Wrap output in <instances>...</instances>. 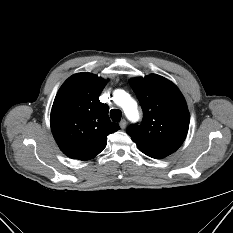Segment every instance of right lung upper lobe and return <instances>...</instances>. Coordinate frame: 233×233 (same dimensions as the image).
Here are the masks:
<instances>
[{
  "mask_svg": "<svg viewBox=\"0 0 233 233\" xmlns=\"http://www.w3.org/2000/svg\"><path fill=\"white\" fill-rule=\"evenodd\" d=\"M106 81L92 73H77L59 89L51 110L53 136L68 157L89 160L105 147L107 136L120 129L110 121L108 106L99 101Z\"/></svg>",
  "mask_w": 233,
  "mask_h": 233,
  "instance_id": "1",
  "label": "right lung upper lobe"
}]
</instances>
